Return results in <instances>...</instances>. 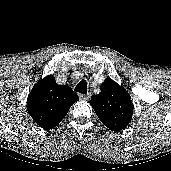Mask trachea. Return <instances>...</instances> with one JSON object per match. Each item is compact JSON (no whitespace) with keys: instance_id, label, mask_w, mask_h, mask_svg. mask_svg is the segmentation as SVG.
I'll use <instances>...</instances> for the list:
<instances>
[{"instance_id":"trachea-1","label":"trachea","mask_w":171,"mask_h":171,"mask_svg":"<svg viewBox=\"0 0 171 171\" xmlns=\"http://www.w3.org/2000/svg\"><path fill=\"white\" fill-rule=\"evenodd\" d=\"M87 82L86 80H81L75 87V91L82 93V94H86L87 93Z\"/></svg>"}]
</instances>
